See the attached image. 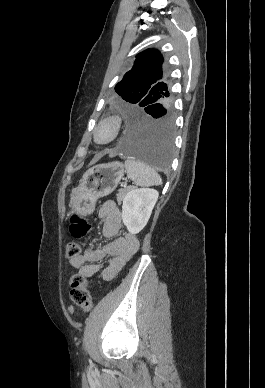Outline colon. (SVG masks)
Here are the masks:
<instances>
[{"label":"colon","instance_id":"1","mask_svg":"<svg viewBox=\"0 0 265 388\" xmlns=\"http://www.w3.org/2000/svg\"><path fill=\"white\" fill-rule=\"evenodd\" d=\"M70 233L74 238L86 237L91 224L85 218L73 215L70 219ZM81 253V246L78 243H69L65 250V257L68 260L78 257ZM70 298L72 302L83 311H90L93 306L92 297L88 289V283L85 277L80 274L74 275L71 279Z\"/></svg>","mask_w":265,"mask_h":388}]
</instances>
